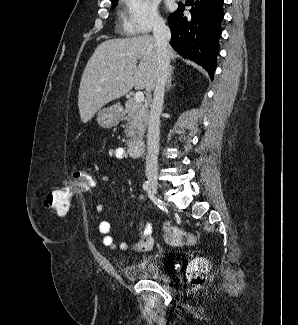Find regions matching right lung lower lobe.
Segmentation results:
<instances>
[{
	"mask_svg": "<svg viewBox=\"0 0 298 325\" xmlns=\"http://www.w3.org/2000/svg\"><path fill=\"white\" fill-rule=\"evenodd\" d=\"M224 0H186L190 15L183 16L184 5L168 18L170 44L184 58L202 66L213 78L223 19Z\"/></svg>",
	"mask_w": 298,
	"mask_h": 325,
	"instance_id": "right-lung-lower-lobe-1",
	"label": "right lung lower lobe"
}]
</instances>
